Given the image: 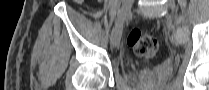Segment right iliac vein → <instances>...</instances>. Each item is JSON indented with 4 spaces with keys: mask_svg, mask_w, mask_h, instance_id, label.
I'll list each match as a JSON object with an SVG mask.
<instances>
[{
    "mask_svg": "<svg viewBox=\"0 0 209 90\" xmlns=\"http://www.w3.org/2000/svg\"><path fill=\"white\" fill-rule=\"evenodd\" d=\"M132 7V1L127 0L123 2L122 12L120 13L119 19L112 31L111 35V46L116 47L119 45L121 36H122V30H123V24L126 15L130 12Z\"/></svg>",
    "mask_w": 209,
    "mask_h": 90,
    "instance_id": "obj_1",
    "label": "right iliac vein"
}]
</instances>
